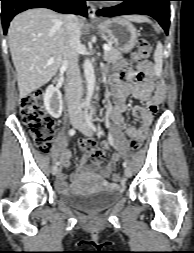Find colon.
<instances>
[{
	"label": "colon",
	"instance_id": "1",
	"mask_svg": "<svg viewBox=\"0 0 194 253\" xmlns=\"http://www.w3.org/2000/svg\"><path fill=\"white\" fill-rule=\"evenodd\" d=\"M151 51L150 43L146 39H140L136 50L132 53L129 63L140 71L143 61H137V56H149ZM20 115L23 124L29 129L35 145L39 152L46 154L52 144L54 121L47 115L42 106V92L34 91L22 98L20 102ZM96 137H88L81 143V148L89 154L90 160L94 164H100L104 160V152L97 148ZM142 145V140L138 137L130 139V147L137 151ZM111 179L114 182L121 180L119 171L113 172Z\"/></svg>",
	"mask_w": 194,
	"mask_h": 253
}]
</instances>
